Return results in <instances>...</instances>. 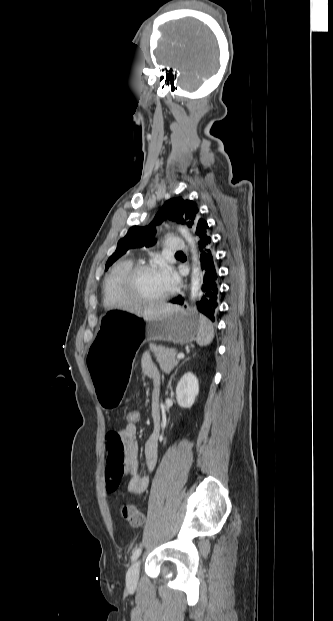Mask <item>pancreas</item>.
Returning <instances> with one entry per match:
<instances>
[{
  "label": "pancreas",
  "mask_w": 333,
  "mask_h": 621,
  "mask_svg": "<svg viewBox=\"0 0 333 621\" xmlns=\"http://www.w3.org/2000/svg\"><path fill=\"white\" fill-rule=\"evenodd\" d=\"M150 350L153 352L154 357L162 371L170 372L174 369V367L178 364V359L176 356L178 354L176 349L168 348L164 346L151 345Z\"/></svg>",
  "instance_id": "1"
}]
</instances>
